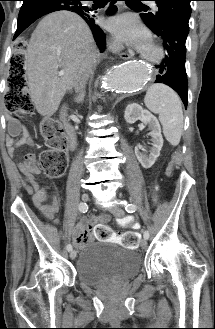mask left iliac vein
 Returning <instances> with one entry per match:
<instances>
[{
  "instance_id": "4c4485c4",
  "label": "left iliac vein",
  "mask_w": 215,
  "mask_h": 329,
  "mask_svg": "<svg viewBox=\"0 0 215 329\" xmlns=\"http://www.w3.org/2000/svg\"><path fill=\"white\" fill-rule=\"evenodd\" d=\"M110 212L116 216V217H123L125 215L124 209H122L120 206H114L110 209ZM140 245L142 248H146L147 246V240L146 238L141 239Z\"/></svg>"
}]
</instances>
